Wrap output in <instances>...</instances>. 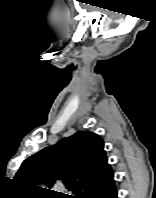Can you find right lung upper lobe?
Listing matches in <instances>:
<instances>
[{
  "label": "right lung upper lobe",
  "instance_id": "cb5924a9",
  "mask_svg": "<svg viewBox=\"0 0 156 198\" xmlns=\"http://www.w3.org/2000/svg\"><path fill=\"white\" fill-rule=\"evenodd\" d=\"M103 147L97 134L77 132L30 156L14 179L36 191L38 184L52 187L56 179H61L80 198H101L114 187L113 171ZM53 192L49 194L55 195Z\"/></svg>",
  "mask_w": 156,
  "mask_h": 198
}]
</instances>
